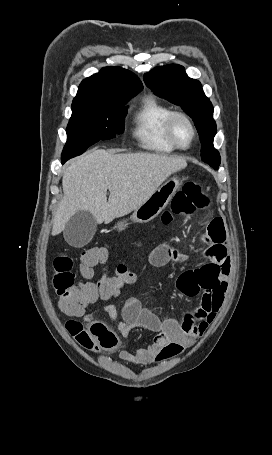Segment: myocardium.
Here are the masks:
<instances>
[{"mask_svg":"<svg viewBox=\"0 0 272 455\" xmlns=\"http://www.w3.org/2000/svg\"><path fill=\"white\" fill-rule=\"evenodd\" d=\"M177 119L184 120L191 129L192 138H191L190 142L188 143V145H186V146L180 145L174 136L173 126H174V122ZM164 130H165L166 138L169 141V143L175 149L181 150V151L190 149L197 138V129H196L192 119L186 113H184L182 111H171L170 112V114L167 116V118L165 120Z\"/></svg>","mask_w":272,"mask_h":455,"instance_id":"1","label":"myocardium"}]
</instances>
